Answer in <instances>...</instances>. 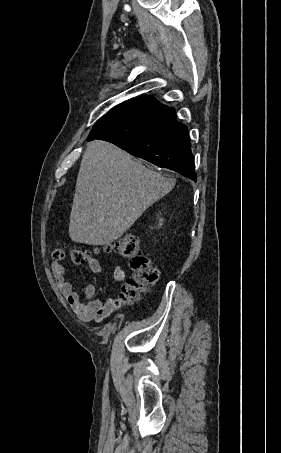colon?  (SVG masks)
<instances>
[{"label": "colon", "instance_id": "5ec220e1", "mask_svg": "<svg viewBox=\"0 0 281 453\" xmlns=\"http://www.w3.org/2000/svg\"><path fill=\"white\" fill-rule=\"evenodd\" d=\"M99 249L106 255L122 258L128 262L131 276L124 286L123 303L135 298L145 291L148 284L158 280V271L150 265V259L142 252L138 238L117 239L103 244ZM64 252L69 253L73 262H90L93 259L91 253L82 251L75 243H69L53 253L54 260H61Z\"/></svg>", "mask_w": 281, "mask_h": 453}]
</instances>
